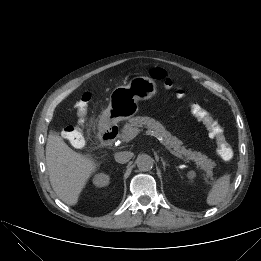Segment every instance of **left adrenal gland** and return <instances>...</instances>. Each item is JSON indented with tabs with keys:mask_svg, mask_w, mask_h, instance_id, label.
<instances>
[{
	"mask_svg": "<svg viewBox=\"0 0 261 261\" xmlns=\"http://www.w3.org/2000/svg\"><path fill=\"white\" fill-rule=\"evenodd\" d=\"M161 161H162V164H163V168L166 171L167 164H166L165 160L162 157H161Z\"/></svg>",
	"mask_w": 261,
	"mask_h": 261,
	"instance_id": "1",
	"label": "left adrenal gland"
}]
</instances>
